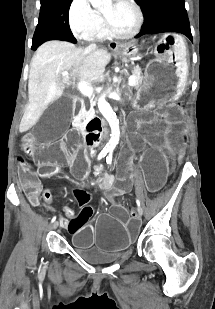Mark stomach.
<instances>
[{
    "mask_svg": "<svg viewBox=\"0 0 215 309\" xmlns=\"http://www.w3.org/2000/svg\"><path fill=\"white\" fill-rule=\"evenodd\" d=\"M157 40L154 48L155 58L151 60L137 88L136 101H173L183 92L188 74L187 47L185 39L174 33L153 37ZM131 41L121 45L118 52L124 56H136L141 45Z\"/></svg>",
    "mask_w": 215,
    "mask_h": 309,
    "instance_id": "1",
    "label": "stomach"
}]
</instances>
